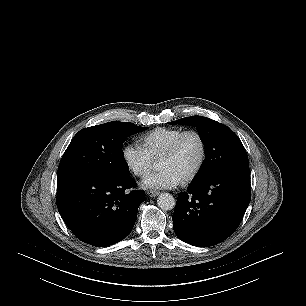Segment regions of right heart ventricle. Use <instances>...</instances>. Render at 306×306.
I'll use <instances>...</instances> for the list:
<instances>
[{
	"mask_svg": "<svg viewBox=\"0 0 306 306\" xmlns=\"http://www.w3.org/2000/svg\"><path fill=\"white\" fill-rule=\"evenodd\" d=\"M180 128H156L141 137V143L154 160H159L173 141L182 133Z\"/></svg>",
	"mask_w": 306,
	"mask_h": 306,
	"instance_id": "e07e8e85",
	"label": "right heart ventricle"
}]
</instances>
